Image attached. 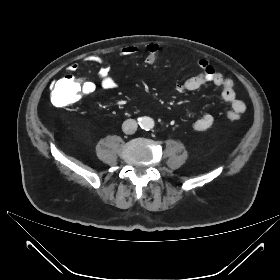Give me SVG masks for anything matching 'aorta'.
I'll use <instances>...</instances> for the list:
<instances>
[{
  "label": "aorta",
  "instance_id": "aorta-1",
  "mask_svg": "<svg viewBox=\"0 0 280 280\" xmlns=\"http://www.w3.org/2000/svg\"><path fill=\"white\" fill-rule=\"evenodd\" d=\"M140 124L143 129L149 130L154 127V120L150 117H143L140 119Z\"/></svg>",
  "mask_w": 280,
  "mask_h": 280
}]
</instances>
